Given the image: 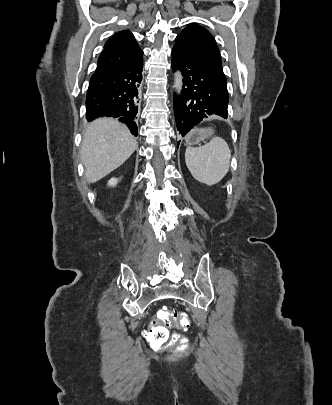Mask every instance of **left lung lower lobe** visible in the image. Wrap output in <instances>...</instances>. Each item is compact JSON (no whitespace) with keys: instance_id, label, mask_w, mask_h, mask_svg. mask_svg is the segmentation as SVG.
Masks as SVG:
<instances>
[{"instance_id":"1","label":"left lung lower lobe","mask_w":332,"mask_h":405,"mask_svg":"<svg viewBox=\"0 0 332 405\" xmlns=\"http://www.w3.org/2000/svg\"><path fill=\"white\" fill-rule=\"evenodd\" d=\"M172 68H180L183 75L181 95L174 98L177 130L182 136L206 118H227L228 91L211 69L176 47L172 50Z\"/></svg>"}]
</instances>
